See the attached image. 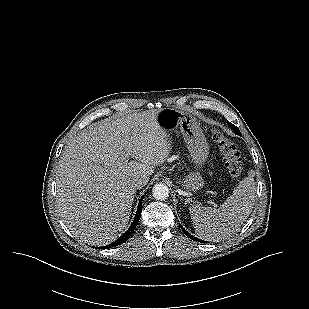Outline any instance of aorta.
<instances>
[{"label": "aorta", "mask_w": 309, "mask_h": 309, "mask_svg": "<svg viewBox=\"0 0 309 309\" xmlns=\"http://www.w3.org/2000/svg\"><path fill=\"white\" fill-rule=\"evenodd\" d=\"M153 197L157 200H166L169 196V188L163 184H155L152 189Z\"/></svg>", "instance_id": "1"}]
</instances>
